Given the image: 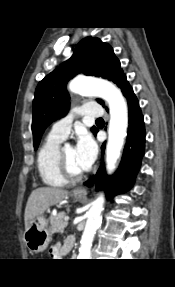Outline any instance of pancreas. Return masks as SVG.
Here are the masks:
<instances>
[{
	"label": "pancreas",
	"instance_id": "pancreas-1",
	"mask_svg": "<svg viewBox=\"0 0 175 287\" xmlns=\"http://www.w3.org/2000/svg\"><path fill=\"white\" fill-rule=\"evenodd\" d=\"M66 216L65 212H59L55 216L50 217V224H51V231L56 232H63L64 228L67 226V222H65L64 218Z\"/></svg>",
	"mask_w": 175,
	"mask_h": 287
}]
</instances>
